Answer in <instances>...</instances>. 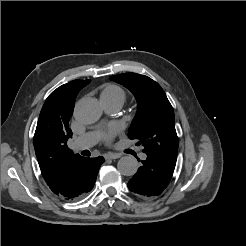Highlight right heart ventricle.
Masks as SVG:
<instances>
[{"label":"right heart ventricle","instance_id":"right-heart-ventricle-1","mask_svg":"<svg viewBox=\"0 0 246 246\" xmlns=\"http://www.w3.org/2000/svg\"><path fill=\"white\" fill-rule=\"evenodd\" d=\"M100 98L103 103H119L123 105L126 100V92L119 85L109 83L103 86Z\"/></svg>","mask_w":246,"mask_h":246}]
</instances>
